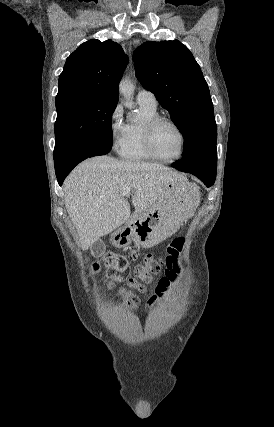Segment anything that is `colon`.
<instances>
[{
	"instance_id": "1",
	"label": "colon",
	"mask_w": 274,
	"mask_h": 427,
	"mask_svg": "<svg viewBox=\"0 0 274 427\" xmlns=\"http://www.w3.org/2000/svg\"><path fill=\"white\" fill-rule=\"evenodd\" d=\"M125 258L120 255L113 254L107 258V278L105 285L107 288L112 289L115 285L122 282V276L127 271V266L124 264ZM94 265L98 266L99 263L95 262ZM167 267L165 255L158 258L152 254H146L144 256V264L136 267L132 272L128 280V284L132 289L139 291L144 290L142 282L148 280L152 275L165 270ZM137 304L136 298L131 294L127 296L125 300V306L130 309H134Z\"/></svg>"
}]
</instances>
